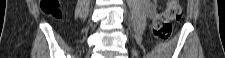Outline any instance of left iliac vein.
Here are the masks:
<instances>
[{"label": "left iliac vein", "mask_w": 225, "mask_h": 58, "mask_svg": "<svg viewBox=\"0 0 225 58\" xmlns=\"http://www.w3.org/2000/svg\"><path fill=\"white\" fill-rule=\"evenodd\" d=\"M132 53H133V55H135V56L137 55V53H136L135 51H133Z\"/></svg>", "instance_id": "4c4485c4"}]
</instances>
